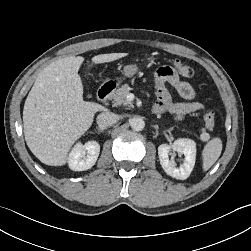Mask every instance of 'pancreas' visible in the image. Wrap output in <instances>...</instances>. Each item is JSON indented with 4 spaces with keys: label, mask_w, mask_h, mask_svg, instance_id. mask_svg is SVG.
<instances>
[{
    "label": "pancreas",
    "mask_w": 251,
    "mask_h": 251,
    "mask_svg": "<svg viewBox=\"0 0 251 251\" xmlns=\"http://www.w3.org/2000/svg\"><path fill=\"white\" fill-rule=\"evenodd\" d=\"M130 90L131 88L129 87L128 84H124L122 85V87L117 89L112 95L113 104L115 106L127 105L129 107H132L133 104L130 101H128L126 98ZM174 119L176 121H182L184 119V116L179 114V115H176Z\"/></svg>",
    "instance_id": "1"
}]
</instances>
